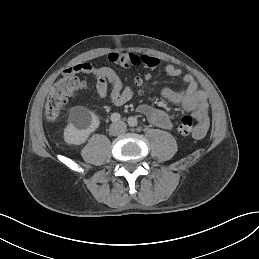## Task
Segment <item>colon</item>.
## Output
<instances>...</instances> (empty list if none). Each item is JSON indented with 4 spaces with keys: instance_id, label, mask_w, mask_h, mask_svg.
Returning a JSON list of instances; mask_svg holds the SVG:
<instances>
[{
    "instance_id": "5ec220e1",
    "label": "colon",
    "mask_w": 259,
    "mask_h": 259,
    "mask_svg": "<svg viewBox=\"0 0 259 259\" xmlns=\"http://www.w3.org/2000/svg\"><path fill=\"white\" fill-rule=\"evenodd\" d=\"M146 78H137L134 85L142 89L145 85ZM86 83L72 73H65L51 87L46 103L45 114L50 122H55L64 112L68 99L77 96L86 89ZM197 126L191 116H183L180 120L178 130L183 135H191L196 132Z\"/></svg>"
}]
</instances>
